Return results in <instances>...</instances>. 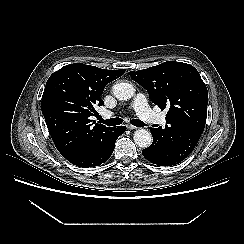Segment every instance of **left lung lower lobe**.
<instances>
[{
  "instance_id": "left-lung-lower-lobe-1",
  "label": "left lung lower lobe",
  "mask_w": 244,
  "mask_h": 244,
  "mask_svg": "<svg viewBox=\"0 0 244 244\" xmlns=\"http://www.w3.org/2000/svg\"><path fill=\"white\" fill-rule=\"evenodd\" d=\"M142 154L145 157V159H147L151 163L157 164L158 166H172L183 161V160L169 161L167 159H164L160 149L155 145H151L150 147L144 149L142 151Z\"/></svg>"
}]
</instances>
